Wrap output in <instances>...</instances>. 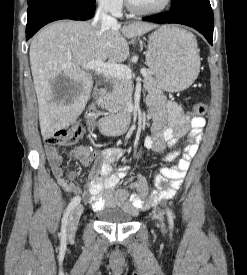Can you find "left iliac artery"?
<instances>
[{
    "label": "left iliac artery",
    "mask_w": 247,
    "mask_h": 275,
    "mask_svg": "<svg viewBox=\"0 0 247 275\" xmlns=\"http://www.w3.org/2000/svg\"><path fill=\"white\" fill-rule=\"evenodd\" d=\"M166 212H167L170 228L172 229L173 228V224H174V222H173V214H172V212L168 208H166Z\"/></svg>",
    "instance_id": "obj_1"
}]
</instances>
